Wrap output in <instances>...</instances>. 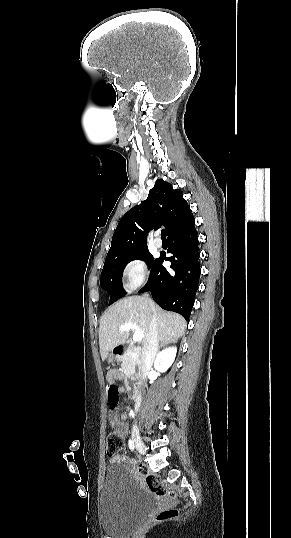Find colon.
<instances>
[{
    "instance_id": "5ec220e1",
    "label": "colon",
    "mask_w": 291,
    "mask_h": 538,
    "mask_svg": "<svg viewBox=\"0 0 291 538\" xmlns=\"http://www.w3.org/2000/svg\"><path fill=\"white\" fill-rule=\"evenodd\" d=\"M119 362L118 358H111L110 363L111 364H117ZM108 402L111 408H114L118 402H119V390L116 385H110L108 389ZM123 438L117 434V432L114 430L110 433L107 439L106 444V452L108 456L112 457L117 455L121 449L123 448ZM137 474H140L144 477L145 482L147 484V487L156 495L160 497H170L172 499L176 498L175 493L168 491L163 481L160 477L156 475H152L148 473L144 469H137ZM178 515V511L175 509H166L161 512H159L156 515L155 521L156 522H163L169 519H172Z\"/></svg>"
}]
</instances>
